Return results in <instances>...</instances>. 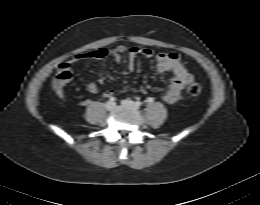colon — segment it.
<instances>
[{"mask_svg": "<svg viewBox=\"0 0 260 205\" xmlns=\"http://www.w3.org/2000/svg\"><path fill=\"white\" fill-rule=\"evenodd\" d=\"M91 56L94 58H98V57H96L95 53H92ZM187 91L192 96H198L202 92V86H201V84L194 82V83H191L188 85Z\"/></svg>", "mask_w": 260, "mask_h": 205, "instance_id": "obj_1", "label": "colon"}]
</instances>
